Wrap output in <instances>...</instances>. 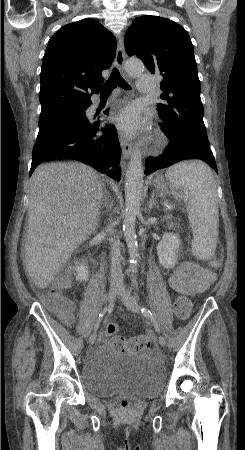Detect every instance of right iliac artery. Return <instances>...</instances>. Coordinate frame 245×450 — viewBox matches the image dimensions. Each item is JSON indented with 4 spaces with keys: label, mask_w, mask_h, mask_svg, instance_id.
Masks as SVG:
<instances>
[{
    "label": "right iliac artery",
    "mask_w": 245,
    "mask_h": 450,
    "mask_svg": "<svg viewBox=\"0 0 245 450\" xmlns=\"http://www.w3.org/2000/svg\"><path fill=\"white\" fill-rule=\"evenodd\" d=\"M111 306H112V305L110 304V305H109V309L111 308ZM107 310H108V307L105 308V309L99 314V316H98V318H97V321H96V323H95V326H94V330H95V331L98 330L99 325H100V322H101L103 316L106 314Z\"/></svg>",
    "instance_id": "obj_1"
}]
</instances>
